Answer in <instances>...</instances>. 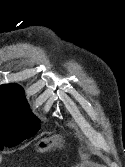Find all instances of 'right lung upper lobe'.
I'll list each match as a JSON object with an SVG mask.
<instances>
[{
    "instance_id": "obj_1",
    "label": "right lung upper lobe",
    "mask_w": 125,
    "mask_h": 167,
    "mask_svg": "<svg viewBox=\"0 0 125 167\" xmlns=\"http://www.w3.org/2000/svg\"><path fill=\"white\" fill-rule=\"evenodd\" d=\"M0 98L25 99L23 88L15 83L0 86Z\"/></svg>"
}]
</instances>
